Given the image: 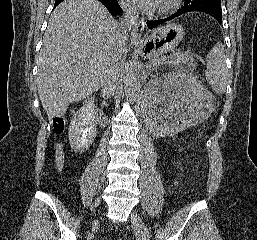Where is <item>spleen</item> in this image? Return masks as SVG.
<instances>
[{
    "instance_id": "3e777b00",
    "label": "spleen",
    "mask_w": 257,
    "mask_h": 240,
    "mask_svg": "<svg viewBox=\"0 0 257 240\" xmlns=\"http://www.w3.org/2000/svg\"><path fill=\"white\" fill-rule=\"evenodd\" d=\"M206 62L207 70L205 74L207 82L216 93L223 94L228 83V71L222 43L218 42L208 53Z\"/></svg>"
}]
</instances>
